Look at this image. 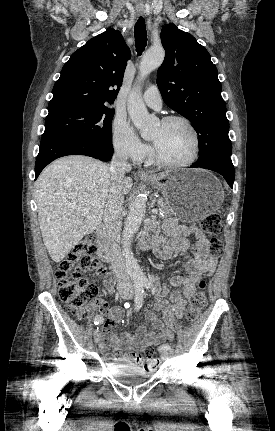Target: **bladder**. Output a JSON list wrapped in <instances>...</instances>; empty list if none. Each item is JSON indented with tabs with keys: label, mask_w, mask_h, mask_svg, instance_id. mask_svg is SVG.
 <instances>
[{
	"label": "bladder",
	"mask_w": 275,
	"mask_h": 431,
	"mask_svg": "<svg viewBox=\"0 0 275 431\" xmlns=\"http://www.w3.org/2000/svg\"><path fill=\"white\" fill-rule=\"evenodd\" d=\"M108 366V372L110 375L118 380L121 381L125 378H149L152 373L143 369L142 367L127 363V362H107Z\"/></svg>",
	"instance_id": "bladder-1"
}]
</instances>
